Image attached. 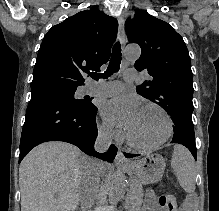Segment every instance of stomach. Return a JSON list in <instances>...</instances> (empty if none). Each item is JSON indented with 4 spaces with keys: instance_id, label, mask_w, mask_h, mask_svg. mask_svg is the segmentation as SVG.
<instances>
[{
    "instance_id": "0dacf381",
    "label": "stomach",
    "mask_w": 219,
    "mask_h": 211,
    "mask_svg": "<svg viewBox=\"0 0 219 211\" xmlns=\"http://www.w3.org/2000/svg\"><path fill=\"white\" fill-rule=\"evenodd\" d=\"M165 166V159L154 153L129 161L121 168L130 174L136 175L142 184H151L161 180Z\"/></svg>"
}]
</instances>
